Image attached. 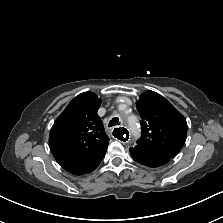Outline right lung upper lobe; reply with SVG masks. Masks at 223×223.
Wrapping results in <instances>:
<instances>
[{
  "instance_id": "obj_1",
  "label": "right lung upper lobe",
  "mask_w": 223,
  "mask_h": 223,
  "mask_svg": "<svg viewBox=\"0 0 223 223\" xmlns=\"http://www.w3.org/2000/svg\"><path fill=\"white\" fill-rule=\"evenodd\" d=\"M100 105L96 94L81 93L51 128L50 150L56 161L71 174L93 171L105 156L109 138L97 114Z\"/></svg>"
}]
</instances>
